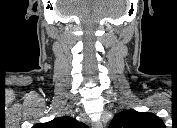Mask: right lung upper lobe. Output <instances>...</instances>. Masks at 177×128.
<instances>
[{"label":"right lung upper lobe","mask_w":177,"mask_h":128,"mask_svg":"<svg viewBox=\"0 0 177 128\" xmlns=\"http://www.w3.org/2000/svg\"><path fill=\"white\" fill-rule=\"evenodd\" d=\"M36 127L47 128H85L86 125L72 117H58L47 123L38 124Z\"/></svg>","instance_id":"obj_1"}]
</instances>
